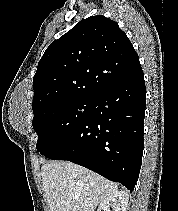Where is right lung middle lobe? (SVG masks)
Returning a JSON list of instances; mask_svg holds the SVG:
<instances>
[{
    "label": "right lung middle lobe",
    "instance_id": "obj_1",
    "mask_svg": "<svg viewBox=\"0 0 178 211\" xmlns=\"http://www.w3.org/2000/svg\"><path fill=\"white\" fill-rule=\"evenodd\" d=\"M94 99L76 98L52 103L34 114L36 149L46 155L77 130L90 115Z\"/></svg>",
    "mask_w": 178,
    "mask_h": 211
}]
</instances>
